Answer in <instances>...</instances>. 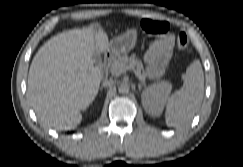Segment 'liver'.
<instances>
[{"mask_svg":"<svg viewBox=\"0 0 243 167\" xmlns=\"http://www.w3.org/2000/svg\"><path fill=\"white\" fill-rule=\"evenodd\" d=\"M108 47L103 30L84 28L60 33L39 49L30 66L28 92L42 123L72 129L81 122V110L95 99L102 80L94 52Z\"/></svg>","mask_w":243,"mask_h":167,"instance_id":"obj_1","label":"liver"}]
</instances>
